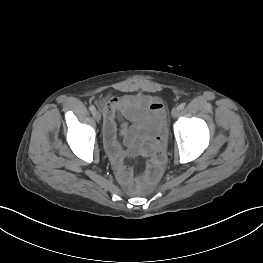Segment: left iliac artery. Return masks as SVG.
I'll return each instance as SVG.
<instances>
[{"mask_svg": "<svg viewBox=\"0 0 263 263\" xmlns=\"http://www.w3.org/2000/svg\"><path fill=\"white\" fill-rule=\"evenodd\" d=\"M184 107H185V103H181V104L179 105L180 110L184 109Z\"/></svg>", "mask_w": 263, "mask_h": 263, "instance_id": "1", "label": "left iliac artery"}]
</instances>
